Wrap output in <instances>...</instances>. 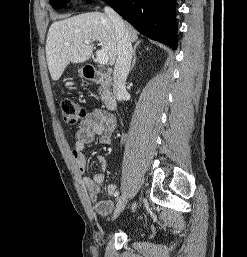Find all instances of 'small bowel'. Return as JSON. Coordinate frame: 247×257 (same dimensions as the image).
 <instances>
[{"instance_id":"obj_1","label":"small bowel","mask_w":247,"mask_h":257,"mask_svg":"<svg viewBox=\"0 0 247 257\" xmlns=\"http://www.w3.org/2000/svg\"><path fill=\"white\" fill-rule=\"evenodd\" d=\"M116 129V119L102 110H93L87 114L79 124L76 132V142L72 151V156L80 173L87 171V161L84 156V149L93 142L95 136H99V142L103 145L111 143V137ZM98 162L102 171L93 176L85 175L83 180L90 192V198L95 205L96 211L101 215H108L114 208L113 200L99 199L101 185L105 180L107 160L104 156H98ZM110 196L116 197L117 186L110 183L107 187Z\"/></svg>"}]
</instances>
